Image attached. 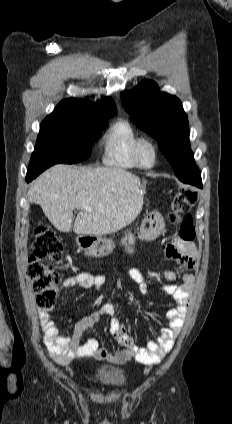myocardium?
I'll use <instances>...</instances> for the list:
<instances>
[{
  "label": "myocardium",
  "instance_id": "obj_1",
  "mask_svg": "<svg viewBox=\"0 0 232 424\" xmlns=\"http://www.w3.org/2000/svg\"><path fill=\"white\" fill-rule=\"evenodd\" d=\"M144 145L150 146V148L152 150V160H151V163H149V164H144L143 161H142V159H141L140 152H141V148ZM134 157H135V160L137 162V165L140 168H143V169H150V168H152L156 164V162H157V157H158V147H157V144L155 143V141L153 139H151L149 137H141L137 141V143L135 145V148H134Z\"/></svg>",
  "mask_w": 232,
  "mask_h": 424
}]
</instances>
